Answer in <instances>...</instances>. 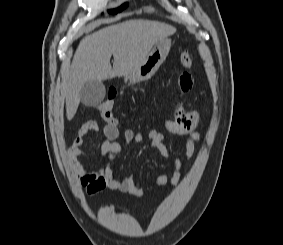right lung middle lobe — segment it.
<instances>
[{
	"mask_svg": "<svg viewBox=\"0 0 283 245\" xmlns=\"http://www.w3.org/2000/svg\"><path fill=\"white\" fill-rule=\"evenodd\" d=\"M127 3H125V4H123L121 7H119L117 10H109V12L110 13H117V12H120V11H122L124 8H126L127 7Z\"/></svg>",
	"mask_w": 283,
	"mask_h": 245,
	"instance_id": "dd1d6c3e",
	"label": "right lung middle lobe"
}]
</instances>
